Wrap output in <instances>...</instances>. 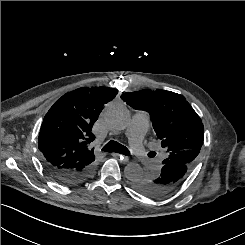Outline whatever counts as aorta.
<instances>
[{
  "instance_id": "1",
  "label": "aorta",
  "mask_w": 245,
  "mask_h": 245,
  "mask_svg": "<svg viewBox=\"0 0 245 245\" xmlns=\"http://www.w3.org/2000/svg\"><path fill=\"white\" fill-rule=\"evenodd\" d=\"M104 119L110 128L122 131L130 123V112L124 105H110L104 111ZM143 173V168L137 163H128L124 168L125 177L132 182L142 177Z\"/></svg>"
}]
</instances>
